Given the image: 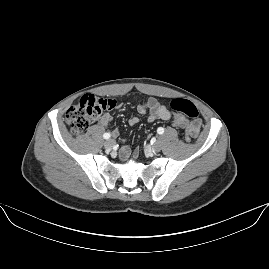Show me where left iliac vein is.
I'll return each instance as SVG.
<instances>
[{"label":"left iliac vein","mask_w":269,"mask_h":269,"mask_svg":"<svg viewBox=\"0 0 269 269\" xmlns=\"http://www.w3.org/2000/svg\"><path fill=\"white\" fill-rule=\"evenodd\" d=\"M151 148L157 152H159L161 150V143L159 141H157L155 144H153L151 146Z\"/></svg>","instance_id":"1"}]
</instances>
